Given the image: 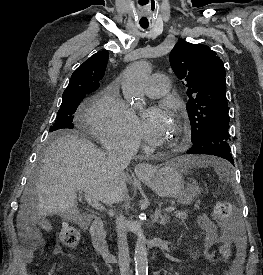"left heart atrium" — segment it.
I'll list each match as a JSON object with an SVG mask.
<instances>
[{
  "mask_svg": "<svg viewBox=\"0 0 263 275\" xmlns=\"http://www.w3.org/2000/svg\"><path fill=\"white\" fill-rule=\"evenodd\" d=\"M170 124L169 113L162 107L150 109L144 114L141 132L147 142L158 143Z\"/></svg>",
  "mask_w": 263,
  "mask_h": 275,
  "instance_id": "1",
  "label": "left heart atrium"
}]
</instances>
